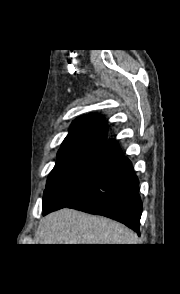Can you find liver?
I'll use <instances>...</instances> for the list:
<instances>
[{"instance_id": "liver-1", "label": "liver", "mask_w": 180, "mask_h": 294, "mask_svg": "<svg viewBox=\"0 0 180 294\" xmlns=\"http://www.w3.org/2000/svg\"><path fill=\"white\" fill-rule=\"evenodd\" d=\"M40 244H136L137 235L122 224L73 209L47 215L38 228Z\"/></svg>"}]
</instances>
